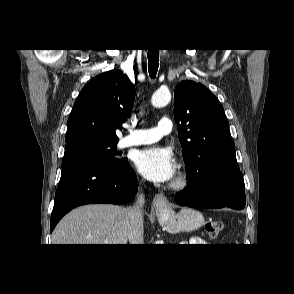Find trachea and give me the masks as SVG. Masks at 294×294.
Listing matches in <instances>:
<instances>
[{"instance_id": "trachea-1", "label": "trachea", "mask_w": 294, "mask_h": 294, "mask_svg": "<svg viewBox=\"0 0 294 294\" xmlns=\"http://www.w3.org/2000/svg\"><path fill=\"white\" fill-rule=\"evenodd\" d=\"M148 57V70L151 78H155L158 71V60H159V51L157 49L150 50L147 53Z\"/></svg>"}]
</instances>
